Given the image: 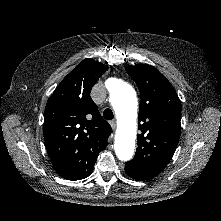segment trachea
<instances>
[{
    "instance_id": "3493384b",
    "label": "trachea",
    "mask_w": 221,
    "mask_h": 221,
    "mask_svg": "<svg viewBox=\"0 0 221 221\" xmlns=\"http://www.w3.org/2000/svg\"><path fill=\"white\" fill-rule=\"evenodd\" d=\"M103 117L106 120H112L114 118L113 112L111 109H105L103 112Z\"/></svg>"
}]
</instances>
